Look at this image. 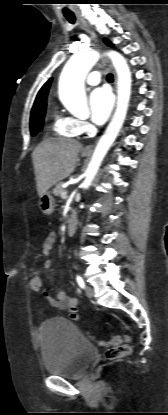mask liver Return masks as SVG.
<instances>
[{
    "instance_id": "liver-1",
    "label": "liver",
    "mask_w": 168,
    "mask_h": 415,
    "mask_svg": "<svg viewBox=\"0 0 168 415\" xmlns=\"http://www.w3.org/2000/svg\"><path fill=\"white\" fill-rule=\"evenodd\" d=\"M81 148L78 141L64 138L46 139L35 148L32 160L40 197L74 171Z\"/></svg>"
}]
</instances>
